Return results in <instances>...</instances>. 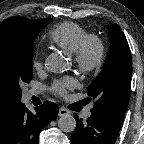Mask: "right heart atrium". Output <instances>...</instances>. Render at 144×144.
<instances>
[{"label":"right heart atrium","instance_id":"right-heart-atrium-1","mask_svg":"<svg viewBox=\"0 0 144 144\" xmlns=\"http://www.w3.org/2000/svg\"><path fill=\"white\" fill-rule=\"evenodd\" d=\"M43 66L42 59L39 55H36L33 59V67L35 69H40Z\"/></svg>","mask_w":144,"mask_h":144}]
</instances>
